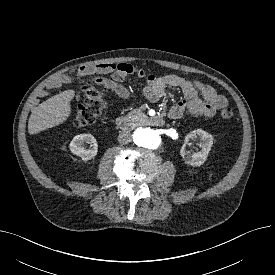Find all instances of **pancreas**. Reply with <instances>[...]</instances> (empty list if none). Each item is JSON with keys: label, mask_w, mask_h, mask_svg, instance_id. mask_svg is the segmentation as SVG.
Masks as SVG:
<instances>
[{"label": "pancreas", "mask_w": 275, "mask_h": 275, "mask_svg": "<svg viewBox=\"0 0 275 275\" xmlns=\"http://www.w3.org/2000/svg\"><path fill=\"white\" fill-rule=\"evenodd\" d=\"M143 116H144V113H142V111L139 109H134L127 114V117L130 118L131 120H138L140 117H143Z\"/></svg>", "instance_id": "1"}]
</instances>
